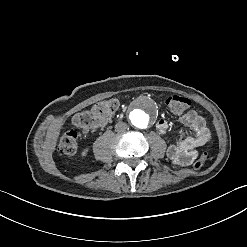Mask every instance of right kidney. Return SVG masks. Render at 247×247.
Listing matches in <instances>:
<instances>
[{
	"label": "right kidney",
	"instance_id": "ca27d5eb",
	"mask_svg": "<svg viewBox=\"0 0 247 247\" xmlns=\"http://www.w3.org/2000/svg\"><path fill=\"white\" fill-rule=\"evenodd\" d=\"M86 153H87V150H84V151L81 153V155H82V156H86Z\"/></svg>",
	"mask_w": 247,
	"mask_h": 247
}]
</instances>
